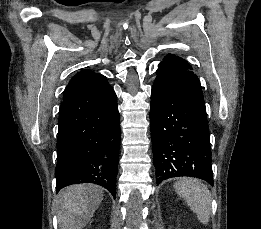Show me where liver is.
<instances>
[{
    "label": "liver",
    "instance_id": "1",
    "mask_svg": "<svg viewBox=\"0 0 261 229\" xmlns=\"http://www.w3.org/2000/svg\"><path fill=\"white\" fill-rule=\"evenodd\" d=\"M104 197L98 185H72L58 193L54 205L58 209L61 229H84Z\"/></svg>",
    "mask_w": 261,
    "mask_h": 229
}]
</instances>
